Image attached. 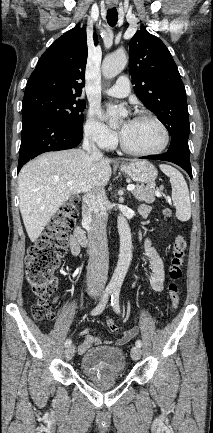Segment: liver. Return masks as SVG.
I'll return each mask as SVG.
<instances>
[{"instance_id": "1", "label": "liver", "mask_w": 213, "mask_h": 433, "mask_svg": "<svg viewBox=\"0 0 213 433\" xmlns=\"http://www.w3.org/2000/svg\"><path fill=\"white\" fill-rule=\"evenodd\" d=\"M111 173L110 159L81 149L45 153L24 165L18 176L19 208L31 242L71 196L104 188Z\"/></svg>"}]
</instances>
